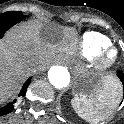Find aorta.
I'll list each match as a JSON object with an SVG mask.
<instances>
[{"label": "aorta", "instance_id": "1", "mask_svg": "<svg viewBox=\"0 0 124 124\" xmlns=\"http://www.w3.org/2000/svg\"><path fill=\"white\" fill-rule=\"evenodd\" d=\"M50 83L58 89L67 87L70 82V74L65 67L53 66L48 71Z\"/></svg>", "mask_w": 124, "mask_h": 124}]
</instances>
